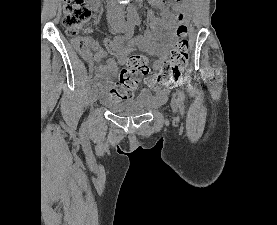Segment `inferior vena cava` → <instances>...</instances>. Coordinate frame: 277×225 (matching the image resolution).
I'll return each instance as SVG.
<instances>
[{
  "instance_id": "602c4592",
  "label": "inferior vena cava",
  "mask_w": 277,
  "mask_h": 225,
  "mask_svg": "<svg viewBox=\"0 0 277 225\" xmlns=\"http://www.w3.org/2000/svg\"><path fill=\"white\" fill-rule=\"evenodd\" d=\"M108 5H109V7L115 8L117 10L120 9V7L117 4L116 0H108ZM119 18L121 19L122 23H124V16H123V14L121 12L119 13Z\"/></svg>"
}]
</instances>
